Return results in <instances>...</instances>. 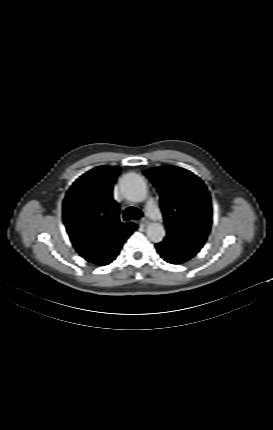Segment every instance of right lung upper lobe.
Here are the masks:
<instances>
[{
    "instance_id": "obj_1",
    "label": "right lung upper lobe",
    "mask_w": 273,
    "mask_h": 430,
    "mask_svg": "<svg viewBox=\"0 0 273 430\" xmlns=\"http://www.w3.org/2000/svg\"><path fill=\"white\" fill-rule=\"evenodd\" d=\"M120 173L116 166H99L77 179L63 202V219L76 251L87 261L98 263L115 246H121L137 225L123 223L112 196Z\"/></svg>"
}]
</instances>
